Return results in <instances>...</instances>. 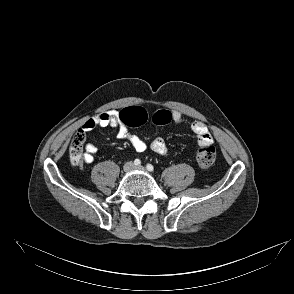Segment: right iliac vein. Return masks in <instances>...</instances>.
Here are the masks:
<instances>
[{
  "label": "right iliac vein",
  "mask_w": 294,
  "mask_h": 294,
  "mask_svg": "<svg viewBox=\"0 0 294 294\" xmlns=\"http://www.w3.org/2000/svg\"><path fill=\"white\" fill-rule=\"evenodd\" d=\"M134 165L132 162H127L125 165H124V171L125 172H129L133 169Z\"/></svg>",
  "instance_id": "obj_1"
}]
</instances>
